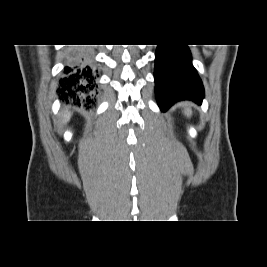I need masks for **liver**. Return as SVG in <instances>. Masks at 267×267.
<instances>
[{"label":"liver","instance_id":"obj_1","mask_svg":"<svg viewBox=\"0 0 267 267\" xmlns=\"http://www.w3.org/2000/svg\"><path fill=\"white\" fill-rule=\"evenodd\" d=\"M71 118V113L67 112L63 115V121L67 123Z\"/></svg>","mask_w":267,"mask_h":267}]
</instances>
